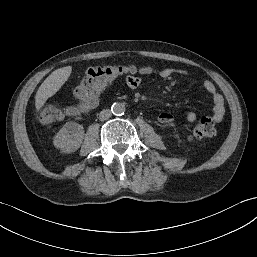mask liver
Returning <instances> with one entry per match:
<instances>
[{"label":"liver","instance_id":"6515ba94","mask_svg":"<svg viewBox=\"0 0 257 257\" xmlns=\"http://www.w3.org/2000/svg\"><path fill=\"white\" fill-rule=\"evenodd\" d=\"M72 72L71 66L56 69L40 85L35 96V107L39 111L45 102L56 94L68 80Z\"/></svg>","mask_w":257,"mask_h":257}]
</instances>
